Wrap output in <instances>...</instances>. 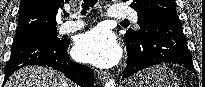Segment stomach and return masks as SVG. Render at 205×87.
Returning <instances> with one entry per match:
<instances>
[{
    "label": "stomach",
    "instance_id": "obj_1",
    "mask_svg": "<svg viewBox=\"0 0 205 87\" xmlns=\"http://www.w3.org/2000/svg\"><path fill=\"white\" fill-rule=\"evenodd\" d=\"M125 87H179L177 75L165 65H156L132 76Z\"/></svg>",
    "mask_w": 205,
    "mask_h": 87
}]
</instances>
